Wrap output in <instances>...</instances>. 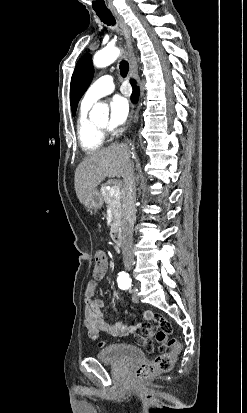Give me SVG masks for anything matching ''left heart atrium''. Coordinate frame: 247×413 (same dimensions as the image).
<instances>
[{"label":"left heart atrium","mask_w":247,"mask_h":413,"mask_svg":"<svg viewBox=\"0 0 247 413\" xmlns=\"http://www.w3.org/2000/svg\"><path fill=\"white\" fill-rule=\"evenodd\" d=\"M109 106L112 118V128L118 129L125 122L128 115V103L123 96L116 94L110 98Z\"/></svg>","instance_id":"1"}]
</instances>
